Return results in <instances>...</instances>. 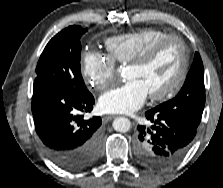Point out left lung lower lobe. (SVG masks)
Instances as JSON below:
<instances>
[{
    "label": "left lung lower lobe",
    "mask_w": 223,
    "mask_h": 188,
    "mask_svg": "<svg viewBox=\"0 0 223 188\" xmlns=\"http://www.w3.org/2000/svg\"><path fill=\"white\" fill-rule=\"evenodd\" d=\"M153 125H139L135 137V152L138 159L154 168L171 166L187 153L197 128L172 120L151 109L145 113Z\"/></svg>",
    "instance_id": "1"
}]
</instances>
